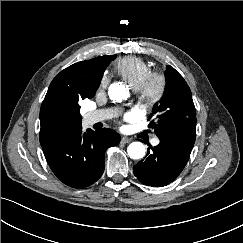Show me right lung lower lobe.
Returning a JSON list of instances; mask_svg holds the SVG:
<instances>
[{
	"instance_id": "98d812e1",
	"label": "right lung lower lobe",
	"mask_w": 243,
	"mask_h": 243,
	"mask_svg": "<svg viewBox=\"0 0 243 243\" xmlns=\"http://www.w3.org/2000/svg\"><path fill=\"white\" fill-rule=\"evenodd\" d=\"M120 136L105 128L97 132L82 127L40 137L46 160L55 176L64 184L84 188L103 174L104 153L116 146Z\"/></svg>"
}]
</instances>
